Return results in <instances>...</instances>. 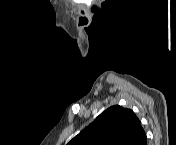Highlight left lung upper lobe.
Masks as SVG:
<instances>
[{"instance_id": "5c2ea615", "label": "left lung upper lobe", "mask_w": 176, "mask_h": 145, "mask_svg": "<svg viewBox=\"0 0 176 145\" xmlns=\"http://www.w3.org/2000/svg\"><path fill=\"white\" fill-rule=\"evenodd\" d=\"M146 134L135 113L119 105L100 114L68 145H142Z\"/></svg>"}]
</instances>
